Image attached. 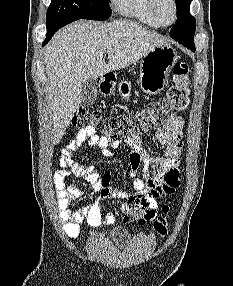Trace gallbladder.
Masks as SVG:
<instances>
[{
  "label": "gallbladder",
  "instance_id": "1",
  "mask_svg": "<svg viewBox=\"0 0 233 286\" xmlns=\"http://www.w3.org/2000/svg\"><path fill=\"white\" fill-rule=\"evenodd\" d=\"M97 79L90 78L87 79L82 86V102L85 105H93L97 99Z\"/></svg>",
  "mask_w": 233,
  "mask_h": 286
}]
</instances>
